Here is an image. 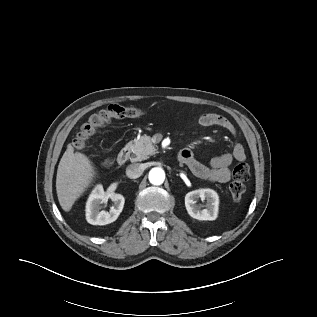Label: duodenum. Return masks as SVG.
I'll use <instances>...</instances> for the list:
<instances>
[{"label":"duodenum","instance_id":"410a0bca","mask_svg":"<svg viewBox=\"0 0 317 317\" xmlns=\"http://www.w3.org/2000/svg\"><path fill=\"white\" fill-rule=\"evenodd\" d=\"M129 154H130L129 146H124L117 155V163L120 165L124 164L128 160ZM182 157H183V154L181 152L179 154V161H181Z\"/></svg>","mask_w":317,"mask_h":317}]
</instances>
